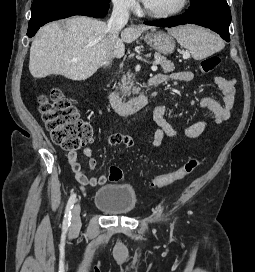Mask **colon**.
<instances>
[{
  "label": "colon",
  "instance_id": "1",
  "mask_svg": "<svg viewBox=\"0 0 255 272\" xmlns=\"http://www.w3.org/2000/svg\"><path fill=\"white\" fill-rule=\"evenodd\" d=\"M220 64V57L210 55L201 60L202 73H210ZM39 112L42 121L54 143L67 151H76L92 141V126L79 117L76 108L63 96L59 89H52L39 99ZM199 164L198 157H190L176 170L157 176L152 180L155 187H165L191 174ZM123 172L111 166L109 178L118 181Z\"/></svg>",
  "mask_w": 255,
  "mask_h": 272
}]
</instances>
